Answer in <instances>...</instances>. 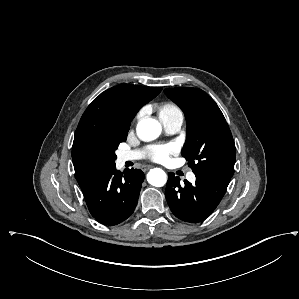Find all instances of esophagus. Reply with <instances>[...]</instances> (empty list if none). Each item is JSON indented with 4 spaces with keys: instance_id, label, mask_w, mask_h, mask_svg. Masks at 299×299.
Returning <instances> with one entry per match:
<instances>
[{
    "instance_id": "esophagus-1",
    "label": "esophagus",
    "mask_w": 299,
    "mask_h": 299,
    "mask_svg": "<svg viewBox=\"0 0 299 299\" xmlns=\"http://www.w3.org/2000/svg\"><path fill=\"white\" fill-rule=\"evenodd\" d=\"M151 168H152L151 165H142V166H141V170H142L143 172H146V171H148V170L151 169Z\"/></svg>"
}]
</instances>
